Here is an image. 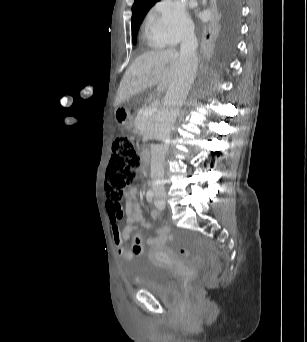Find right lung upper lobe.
Wrapping results in <instances>:
<instances>
[{
  "instance_id": "1",
  "label": "right lung upper lobe",
  "mask_w": 307,
  "mask_h": 342,
  "mask_svg": "<svg viewBox=\"0 0 307 342\" xmlns=\"http://www.w3.org/2000/svg\"><path fill=\"white\" fill-rule=\"evenodd\" d=\"M159 0H135L132 6V35H136L140 23L148 10ZM235 0H212L209 3L204 32L207 39L218 40L228 29L235 12Z\"/></svg>"
}]
</instances>
